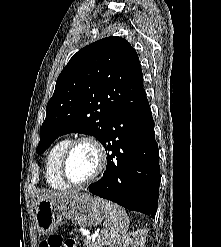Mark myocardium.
Here are the masks:
<instances>
[{"label": "myocardium", "mask_w": 221, "mask_h": 247, "mask_svg": "<svg viewBox=\"0 0 221 247\" xmlns=\"http://www.w3.org/2000/svg\"><path fill=\"white\" fill-rule=\"evenodd\" d=\"M80 144H89L95 149L97 154V168L95 172L86 180L82 182H74L68 175L67 166L73 150L76 148V146ZM108 161L109 157L106 146L97 137L89 134H83L71 140L68 147L66 148L61 159L60 175L63 178V180L70 186H85L94 182L103 175L107 168Z\"/></svg>", "instance_id": "1"}]
</instances>
